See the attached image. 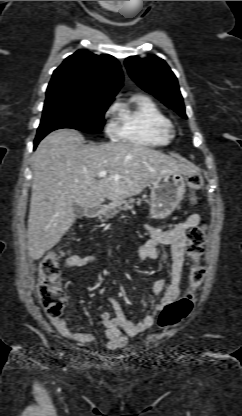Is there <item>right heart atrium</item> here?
Returning <instances> with one entry per match:
<instances>
[{"mask_svg":"<svg viewBox=\"0 0 242 416\" xmlns=\"http://www.w3.org/2000/svg\"><path fill=\"white\" fill-rule=\"evenodd\" d=\"M115 111V107L111 106L107 109L105 115L106 117H110ZM106 132L110 133V134H115L116 132V127L113 123H109L106 127Z\"/></svg>","mask_w":242,"mask_h":416,"instance_id":"right-heart-atrium-1","label":"right heart atrium"}]
</instances>
